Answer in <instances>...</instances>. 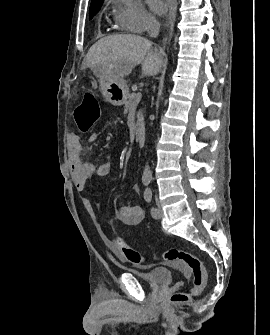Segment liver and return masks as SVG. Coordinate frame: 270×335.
Wrapping results in <instances>:
<instances>
[{
    "mask_svg": "<svg viewBox=\"0 0 270 335\" xmlns=\"http://www.w3.org/2000/svg\"><path fill=\"white\" fill-rule=\"evenodd\" d=\"M137 64H142L143 74L156 76L162 60L152 52L151 42L133 34H116L101 38L91 46L85 58V66L92 68L97 76L110 80H123Z\"/></svg>",
    "mask_w": 270,
    "mask_h": 335,
    "instance_id": "liver-1",
    "label": "liver"
}]
</instances>
